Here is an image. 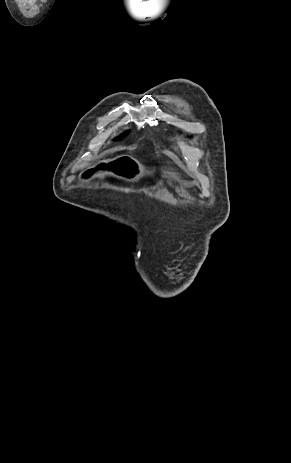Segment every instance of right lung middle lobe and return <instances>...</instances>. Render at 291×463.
Here are the masks:
<instances>
[{
    "label": "right lung middle lobe",
    "mask_w": 291,
    "mask_h": 463,
    "mask_svg": "<svg viewBox=\"0 0 291 463\" xmlns=\"http://www.w3.org/2000/svg\"><path fill=\"white\" fill-rule=\"evenodd\" d=\"M127 134H128V131L125 132V133H123V134L121 135V137H124V136H126ZM116 140H118V139H116Z\"/></svg>",
    "instance_id": "right-lung-middle-lobe-1"
}]
</instances>
